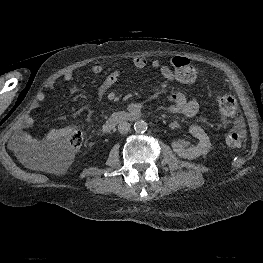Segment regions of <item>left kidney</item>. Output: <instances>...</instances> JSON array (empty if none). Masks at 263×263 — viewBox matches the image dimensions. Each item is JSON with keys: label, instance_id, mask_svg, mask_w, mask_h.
<instances>
[{"label": "left kidney", "instance_id": "1", "mask_svg": "<svg viewBox=\"0 0 263 263\" xmlns=\"http://www.w3.org/2000/svg\"><path fill=\"white\" fill-rule=\"evenodd\" d=\"M189 133L199 139L198 144L185 149L179 142H174L172 144L174 152L177 153L179 157L185 159H195L206 154L210 149L211 143L205 131L200 126L192 125L189 127Z\"/></svg>", "mask_w": 263, "mask_h": 263}]
</instances>
